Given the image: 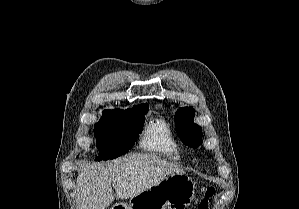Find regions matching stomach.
Returning a JSON list of instances; mask_svg holds the SVG:
<instances>
[{
	"label": "stomach",
	"mask_w": 299,
	"mask_h": 209,
	"mask_svg": "<svg viewBox=\"0 0 299 209\" xmlns=\"http://www.w3.org/2000/svg\"><path fill=\"white\" fill-rule=\"evenodd\" d=\"M195 183L186 174L173 173L155 186L119 202L111 209H187L195 195Z\"/></svg>",
	"instance_id": "stomach-1"
}]
</instances>
